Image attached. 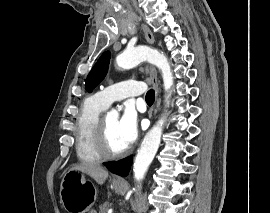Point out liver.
<instances>
[{"label": "liver", "instance_id": "liver-1", "mask_svg": "<svg viewBox=\"0 0 270 213\" xmlns=\"http://www.w3.org/2000/svg\"><path fill=\"white\" fill-rule=\"evenodd\" d=\"M70 170L85 173L92 177L100 185L104 184L108 178V171L98 165L81 163L73 166Z\"/></svg>", "mask_w": 270, "mask_h": 213}]
</instances>
